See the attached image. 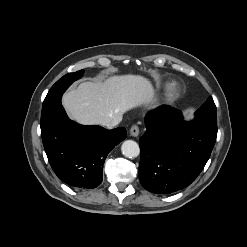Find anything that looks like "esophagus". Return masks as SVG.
Instances as JSON below:
<instances>
[{
  "label": "esophagus",
  "mask_w": 247,
  "mask_h": 247,
  "mask_svg": "<svg viewBox=\"0 0 247 247\" xmlns=\"http://www.w3.org/2000/svg\"><path fill=\"white\" fill-rule=\"evenodd\" d=\"M130 135L132 137H137L139 135V127L137 125H133L131 128H130Z\"/></svg>",
  "instance_id": "1"
}]
</instances>
